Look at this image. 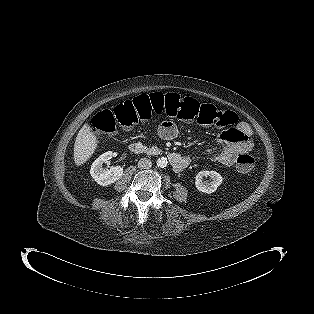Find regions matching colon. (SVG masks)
<instances>
[{"mask_svg":"<svg viewBox=\"0 0 314 314\" xmlns=\"http://www.w3.org/2000/svg\"><path fill=\"white\" fill-rule=\"evenodd\" d=\"M163 114L185 122L196 121L216 127L231 123L228 111H218L214 106L202 104L192 97L155 92L126 100L112 110H102L93 118L92 127L96 133L111 136L120 128H131L138 122ZM254 165L255 159L250 154L243 153L237 157L236 166L240 172H250Z\"/></svg>","mask_w":314,"mask_h":314,"instance_id":"1","label":"colon"}]
</instances>
